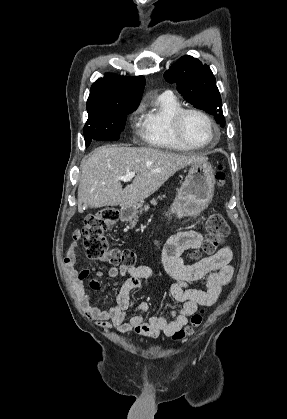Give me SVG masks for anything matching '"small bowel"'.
<instances>
[{"instance_id":"1","label":"small bowel","mask_w":287,"mask_h":419,"mask_svg":"<svg viewBox=\"0 0 287 419\" xmlns=\"http://www.w3.org/2000/svg\"><path fill=\"white\" fill-rule=\"evenodd\" d=\"M79 239L80 232L75 231L73 242L67 248L64 258L74 290L88 317L95 320L99 326L105 329L115 328L121 334L134 332L148 338H156L161 333L172 336L187 323L188 318L195 313L199 305L214 304L222 287L229 283L233 276V267L230 264L232 250L229 246L222 247L215 254L194 265H185L181 258L182 253L190 248H199L203 243V235L194 230L178 232L166 242L162 260L165 270L175 280L170 285V295L175 301L182 303V306L173 311L170 317L153 316L145 320L142 315L135 314L126 322L127 312L132 307L130 293L138 289L144 281L156 277V273L148 267L111 266L108 269L110 277L125 276L127 279L119 289L116 304L103 309L99 308L93 304L84 281L92 272H95L96 277L90 279L89 286L98 290L101 287V273L90 268L75 269L80 255ZM197 280H203V289L188 286V283ZM134 309L136 312H145L148 310V304L137 303Z\"/></svg>"}]
</instances>
